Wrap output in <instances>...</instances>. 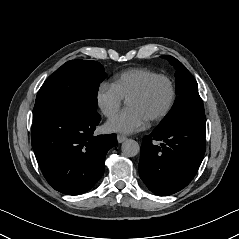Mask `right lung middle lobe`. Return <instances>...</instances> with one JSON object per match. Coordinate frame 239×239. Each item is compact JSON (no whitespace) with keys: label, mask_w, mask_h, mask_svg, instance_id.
I'll list each match as a JSON object with an SVG mask.
<instances>
[{"label":"right lung middle lobe","mask_w":239,"mask_h":239,"mask_svg":"<svg viewBox=\"0 0 239 239\" xmlns=\"http://www.w3.org/2000/svg\"><path fill=\"white\" fill-rule=\"evenodd\" d=\"M105 76L103 66L96 61L66 62L40 88L34 105V121L62 106H74L95 113L99 84Z\"/></svg>","instance_id":"1"}]
</instances>
